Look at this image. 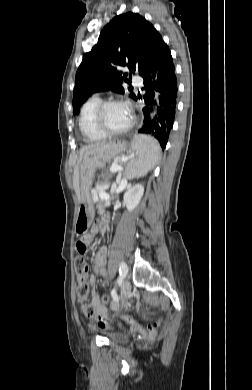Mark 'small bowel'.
I'll list each match as a JSON object with an SVG mask.
<instances>
[{"mask_svg": "<svg viewBox=\"0 0 252 390\" xmlns=\"http://www.w3.org/2000/svg\"><path fill=\"white\" fill-rule=\"evenodd\" d=\"M107 224L108 222L106 218H103L102 220H96L91 227L90 233L87 235H83L77 242L76 245L77 252L86 253L87 249L86 250L82 249L81 245L85 244L87 246L93 235L103 233L106 230ZM106 259H107V248L106 247L99 248V250L96 252L94 257V269L95 272L101 275L104 279H106L108 276V272L104 267L106 263ZM91 282L94 283L93 278L91 279ZM90 302L93 305L97 314H99L100 316H104L107 313L106 304L102 301V298H100V296L94 289L90 291ZM124 319L126 322L130 324L133 323V320L130 317H124Z\"/></svg>", "mask_w": 252, "mask_h": 390, "instance_id": "obj_1", "label": "small bowel"}]
</instances>
